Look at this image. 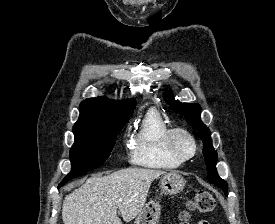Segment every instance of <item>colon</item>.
<instances>
[{
  "label": "colon",
  "mask_w": 275,
  "mask_h": 224,
  "mask_svg": "<svg viewBox=\"0 0 275 224\" xmlns=\"http://www.w3.org/2000/svg\"><path fill=\"white\" fill-rule=\"evenodd\" d=\"M215 207L214 197L207 191H198L194 198L188 203V208L181 215V224H187L190 213L193 211L207 213L211 212Z\"/></svg>",
  "instance_id": "obj_1"
}]
</instances>
